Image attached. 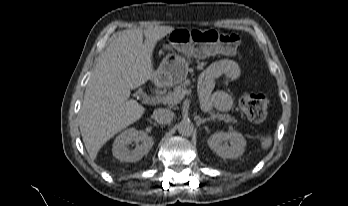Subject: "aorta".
<instances>
[{
    "mask_svg": "<svg viewBox=\"0 0 348 206\" xmlns=\"http://www.w3.org/2000/svg\"><path fill=\"white\" fill-rule=\"evenodd\" d=\"M177 128H178L179 134L186 137L191 136L194 131L193 124L191 123L190 120H187V119L182 120L178 124Z\"/></svg>",
    "mask_w": 348,
    "mask_h": 206,
    "instance_id": "aorta-1",
    "label": "aorta"
}]
</instances>
